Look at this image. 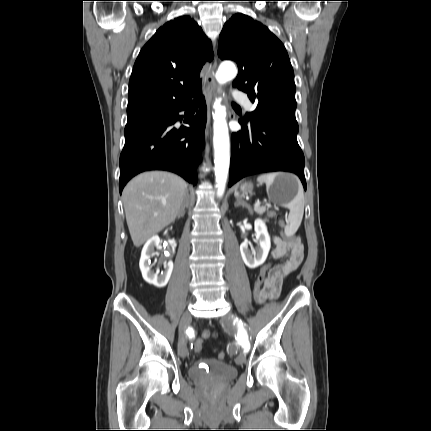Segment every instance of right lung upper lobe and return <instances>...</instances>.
<instances>
[{"mask_svg":"<svg viewBox=\"0 0 431 431\" xmlns=\"http://www.w3.org/2000/svg\"><path fill=\"white\" fill-rule=\"evenodd\" d=\"M211 43L188 16L167 22L141 49L129 81L128 120L167 111L191 99Z\"/></svg>","mask_w":431,"mask_h":431,"instance_id":"right-lung-upper-lobe-1","label":"right lung upper lobe"}]
</instances>
